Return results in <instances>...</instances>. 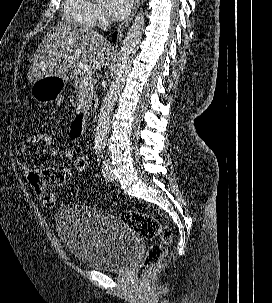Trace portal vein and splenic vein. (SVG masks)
Returning a JSON list of instances; mask_svg holds the SVG:
<instances>
[{
    "label": "portal vein and splenic vein",
    "instance_id": "portal-vein-and-splenic-vein-1",
    "mask_svg": "<svg viewBox=\"0 0 272 303\" xmlns=\"http://www.w3.org/2000/svg\"><path fill=\"white\" fill-rule=\"evenodd\" d=\"M81 83L82 85L90 86L93 85V79L92 77L85 75L81 78Z\"/></svg>",
    "mask_w": 272,
    "mask_h": 303
}]
</instances>
